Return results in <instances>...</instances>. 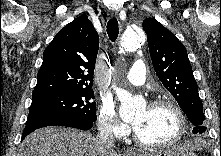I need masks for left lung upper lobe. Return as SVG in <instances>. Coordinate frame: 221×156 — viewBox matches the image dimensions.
Returning a JSON list of instances; mask_svg holds the SVG:
<instances>
[{
	"label": "left lung upper lobe",
	"instance_id": "left-lung-upper-lobe-1",
	"mask_svg": "<svg viewBox=\"0 0 221 156\" xmlns=\"http://www.w3.org/2000/svg\"><path fill=\"white\" fill-rule=\"evenodd\" d=\"M149 52L156 74L164 87L195 126L193 133H203L205 116L186 48L177 37L154 18L143 22Z\"/></svg>",
	"mask_w": 221,
	"mask_h": 156
}]
</instances>
